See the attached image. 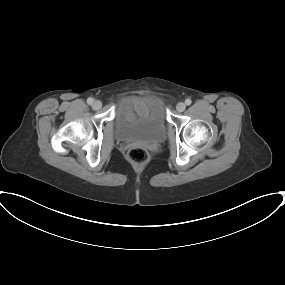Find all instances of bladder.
I'll list each match as a JSON object with an SVG mask.
<instances>
[{
	"instance_id": "bladder-1",
	"label": "bladder",
	"mask_w": 285,
	"mask_h": 285,
	"mask_svg": "<svg viewBox=\"0 0 285 285\" xmlns=\"http://www.w3.org/2000/svg\"><path fill=\"white\" fill-rule=\"evenodd\" d=\"M122 103L115 115V136L122 142L161 143L166 138L164 106L156 98Z\"/></svg>"
}]
</instances>
